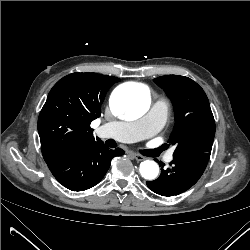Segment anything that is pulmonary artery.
I'll use <instances>...</instances> for the list:
<instances>
[{
	"mask_svg": "<svg viewBox=\"0 0 250 250\" xmlns=\"http://www.w3.org/2000/svg\"><path fill=\"white\" fill-rule=\"evenodd\" d=\"M168 105L165 100L158 99L148 114L135 122L116 121L105 124L103 129L114 139L124 142H135L146 139L158 132L165 124ZM173 159V152L166 155V161Z\"/></svg>",
	"mask_w": 250,
	"mask_h": 250,
	"instance_id": "e3ab8cb5",
	"label": "pulmonary artery"
}]
</instances>
